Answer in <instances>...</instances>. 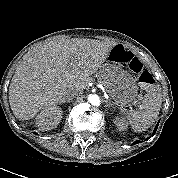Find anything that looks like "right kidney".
<instances>
[{
  "label": "right kidney",
  "instance_id": "obj_1",
  "mask_svg": "<svg viewBox=\"0 0 178 178\" xmlns=\"http://www.w3.org/2000/svg\"><path fill=\"white\" fill-rule=\"evenodd\" d=\"M62 118V110L56 106L45 107L35 118L36 126L42 130L47 131L55 128Z\"/></svg>",
  "mask_w": 178,
  "mask_h": 178
}]
</instances>
